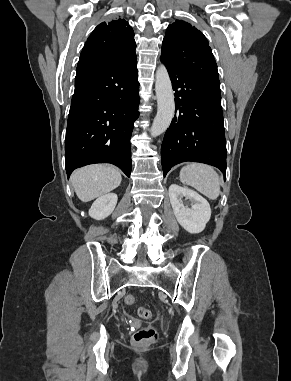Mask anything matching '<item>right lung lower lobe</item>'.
Wrapping results in <instances>:
<instances>
[{
	"instance_id": "1",
	"label": "right lung lower lobe",
	"mask_w": 291,
	"mask_h": 381,
	"mask_svg": "<svg viewBox=\"0 0 291 381\" xmlns=\"http://www.w3.org/2000/svg\"><path fill=\"white\" fill-rule=\"evenodd\" d=\"M134 55L113 65H78L65 138V168L111 163L128 177L130 138L138 118L139 82Z\"/></svg>"
}]
</instances>
